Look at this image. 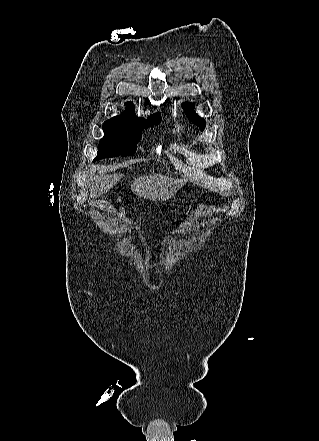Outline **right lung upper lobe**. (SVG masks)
I'll use <instances>...</instances> for the list:
<instances>
[{
    "instance_id": "right-lung-upper-lobe-1",
    "label": "right lung upper lobe",
    "mask_w": 319,
    "mask_h": 441,
    "mask_svg": "<svg viewBox=\"0 0 319 441\" xmlns=\"http://www.w3.org/2000/svg\"><path fill=\"white\" fill-rule=\"evenodd\" d=\"M126 109L128 110V111H135V109H134V105H133V103L132 102H127L126 103Z\"/></svg>"
}]
</instances>
